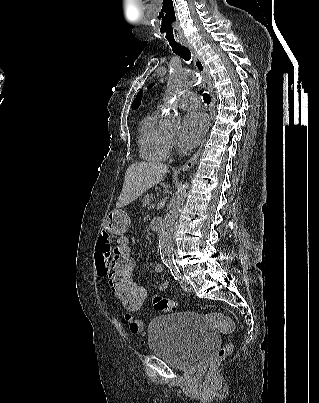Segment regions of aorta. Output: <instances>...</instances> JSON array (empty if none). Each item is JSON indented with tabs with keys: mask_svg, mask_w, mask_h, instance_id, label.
<instances>
[{
	"mask_svg": "<svg viewBox=\"0 0 319 403\" xmlns=\"http://www.w3.org/2000/svg\"><path fill=\"white\" fill-rule=\"evenodd\" d=\"M200 83V78L183 70L177 69L170 73L166 88V101L168 104L167 120L169 122L176 124L179 121L178 112L174 106V101L177 95L189 87ZM187 188L188 184L185 183L173 195L168 205V211L162 223L161 230L158 234L160 255L163 258H171L172 256V236L176 229L181 207L187 196Z\"/></svg>",
	"mask_w": 319,
	"mask_h": 403,
	"instance_id": "obj_1",
	"label": "aorta"
}]
</instances>
